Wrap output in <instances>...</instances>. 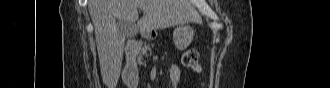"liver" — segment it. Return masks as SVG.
<instances>
[{
	"instance_id": "1",
	"label": "liver",
	"mask_w": 330,
	"mask_h": 88,
	"mask_svg": "<svg viewBox=\"0 0 330 88\" xmlns=\"http://www.w3.org/2000/svg\"><path fill=\"white\" fill-rule=\"evenodd\" d=\"M144 15L138 20V11ZM89 13L95 31L102 80L116 88L122 67L125 35L117 22L135 24L142 35L201 18L189 0H90ZM118 20V21H116Z\"/></svg>"
}]
</instances>
